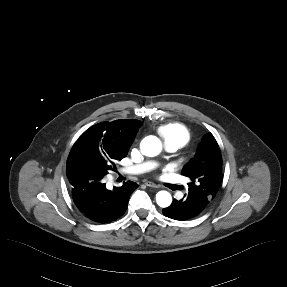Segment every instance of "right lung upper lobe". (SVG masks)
<instances>
[{
    "instance_id": "1",
    "label": "right lung upper lobe",
    "mask_w": 287,
    "mask_h": 287,
    "mask_svg": "<svg viewBox=\"0 0 287 287\" xmlns=\"http://www.w3.org/2000/svg\"><path fill=\"white\" fill-rule=\"evenodd\" d=\"M141 124V121L134 119L101 122L86 130L80 138L126 157Z\"/></svg>"
}]
</instances>
